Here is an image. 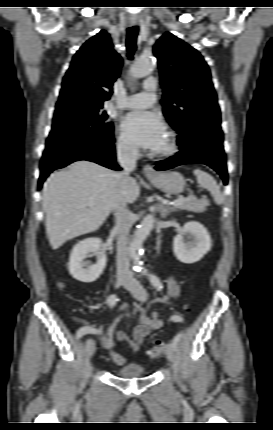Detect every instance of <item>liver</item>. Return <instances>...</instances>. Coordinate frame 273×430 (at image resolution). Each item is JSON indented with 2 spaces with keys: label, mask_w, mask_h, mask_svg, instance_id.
Listing matches in <instances>:
<instances>
[{
  "label": "liver",
  "mask_w": 273,
  "mask_h": 430,
  "mask_svg": "<svg viewBox=\"0 0 273 430\" xmlns=\"http://www.w3.org/2000/svg\"><path fill=\"white\" fill-rule=\"evenodd\" d=\"M116 173L97 163L79 160L54 172L43 188L46 233L54 250L67 240L96 231L114 208L117 196L126 203L139 197L135 179L119 187ZM93 201L95 204L89 206Z\"/></svg>",
  "instance_id": "6515ba94"
}]
</instances>
